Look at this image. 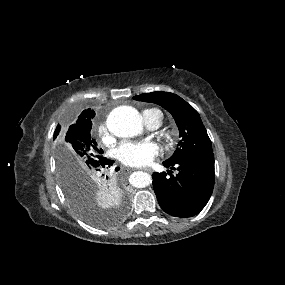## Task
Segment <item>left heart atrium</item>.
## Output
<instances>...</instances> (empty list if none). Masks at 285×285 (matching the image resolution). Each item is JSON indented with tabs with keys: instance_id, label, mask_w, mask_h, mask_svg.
I'll list each match as a JSON object with an SVG mask.
<instances>
[{
	"instance_id": "39dd6f15",
	"label": "left heart atrium",
	"mask_w": 285,
	"mask_h": 285,
	"mask_svg": "<svg viewBox=\"0 0 285 285\" xmlns=\"http://www.w3.org/2000/svg\"><path fill=\"white\" fill-rule=\"evenodd\" d=\"M158 154L152 141H123L115 149L116 158L125 165L143 167L150 164Z\"/></svg>"
}]
</instances>
